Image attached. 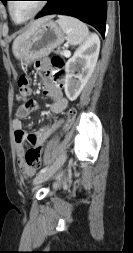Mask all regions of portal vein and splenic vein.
<instances>
[{"mask_svg": "<svg viewBox=\"0 0 133 253\" xmlns=\"http://www.w3.org/2000/svg\"><path fill=\"white\" fill-rule=\"evenodd\" d=\"M70 55V52L68 50L64 51V56L68 57Z\"/></svg>", "mask_w": 133, "mask_h": 253, "instance_id": "obj_1", "label": "portal vein and splenic vein"}]
</instances>
